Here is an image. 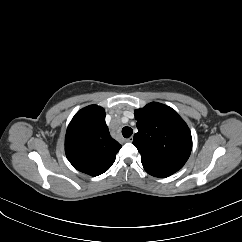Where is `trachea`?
I'll return each instance as SVG.
<instances>
[{
  "mask_svg": "<svg viewBox=\"0 0 242 242\" xmlns=\"http://www.w3.org/2000/svg\"><path fill=\"white\" fill-rule=\"evenodd\" d=\"M132 133H133V130H132V128H130V127H124L123 129H122V135L125 137V138H129L131 135H132Z\"/></svg>",
  "mask_w": 242,
  "mask_h": 242,
  "instance_id": "1",
  "label": "trachea"
}]
</instances>
